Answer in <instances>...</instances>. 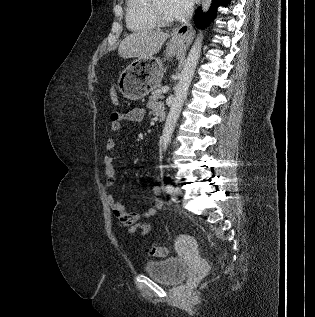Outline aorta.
<instances>
[{"label": "aorta", "instance_id": "762f6f07", "mask_svg": "<svg viewBox=\"0 0 315 317\" xmlns=\"http://www.w3.org/2000/svg\"><path fill=\"white\" fill-rule=\"evenodd\" d=\"M211 3H212V0L202 1V10L204 13H206L209 10ZM202 42H203V32L200 31L194 41V44L192 45L189 51L186 63L184 65L183 70L181 71L179 81L175 88L173 102L170 107V111H169L164 129L162 132L161 140H160L161 147L164 151H166L171 141V137H172L175 125L179 118L183 103L186 99L187 92H188L190 83L192 81V77L194 75L197 63L200 58Z\"/></svg>", "mask_w": 315, "mask_h": 317}]
</instances>
